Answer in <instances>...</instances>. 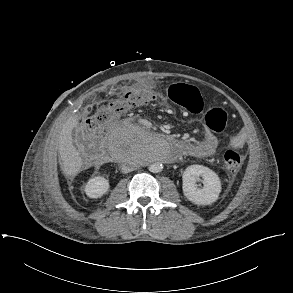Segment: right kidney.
Listing matches in <instances>:
<instances>
[{
    "mask_svg": "<svg viewBox=\"0 0 293 293\" xmlns=\"http://www.w3.org/2000/svg\"><path fill=\"white\" fill-rule=\"evenodd\" d=\"M109 189V181L102 176H95L88 180L85 185V193L89 198H100Z\"/></svg>",
    "mask_w": 293,
    "mask_h": 293,
    "instance_id": "ca27d5eb",
    "label": "right kidney"
}]
</instances>
